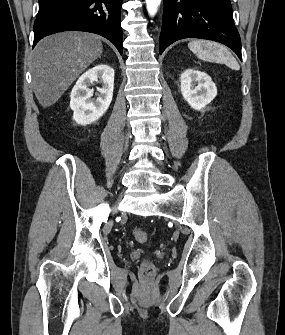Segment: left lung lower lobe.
Listing matches in <instances>:
<instances>
[{"instance_id":"obj_1","label":"left lung lower lobe","mask_w":285,"mask_h":335,"mask_svg":"<svg viewBox=\"0 0 285 335\" xmlns=\"http://www.w3.org/2000/svg\"><path fill=\"white\" fill-rule=\"evenodd\" d=\"M184 38H201L230 47L242 60L241 41L230 0H164L160 34L162 52Z\"/></svg>"}]
</instances>
